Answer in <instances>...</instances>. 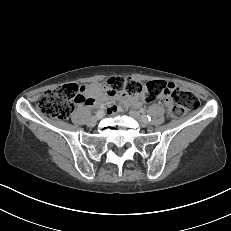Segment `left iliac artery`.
<instances>
[{"label": "left iliac artery", "instance_id": "1", "mask_svg": "<svg viewBox=\"0 0 231 231\" xmlns=\"http://www.w3.org/2000/svg\"><path fill=\"white\" fill-rule=\"evenodd\" d=\"M143 118H144L147 122L151 121V117H150L149 115H145V116H143Z\"/></svg>", "mask_w": 231, "mask_h": 231}]
</instances>
